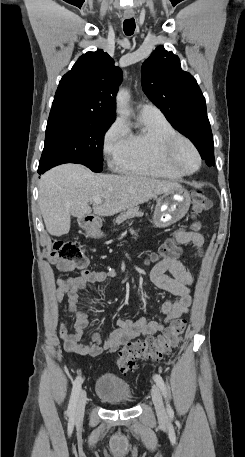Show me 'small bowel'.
Masks as SVG:
<instances>
[{
  "instance_id": "small-bowel-1",
  "label": "small bowel",
  "mask_w": 245,
  "mask_h": 457,
  "mask_svg": "<svg viewBox=\"0 0 245 457\" xmlns=\"http://www.w3.org/2000/svg\"><path fill=\"white\" fill-rule=\"evenodd\" d=\"M200 229L201 222L195 221L190 230H179L175 235V240L180 245L192 244L201 253L204 238ZM49 262L62 272L73 271L76 267L74 263L62 259L50 258ZM108 277L118 278L119 275L110 268L104 271L84 269L76 276L55 280L57 300L61 301L66 298L68 312L74 317L73 331H69L62 322L58 325L59 336L67 352L90 356H98L103 352H115L122 345L139 336H151L163 331L167 324L187 313L190 309L192 274L177 259H163L157 262L149 273V278L156 287L175 296L174 299L162 303L163 319L156 321L145 316H141L137 320L119 318L117 327L107 339L103 340L99 333L91 332L89 340L84 341L89 320L88 314L80 306V293L87 284L102 282Z\"/></svg>"
}]
</instances>
